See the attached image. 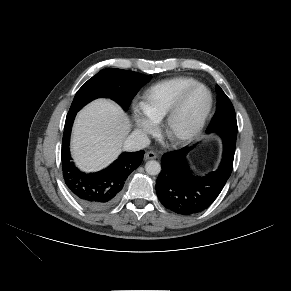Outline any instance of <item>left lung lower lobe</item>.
Listing matches in <instances>:
<instances>
[{
	"label": "left lung lower lobe",
	"mask_w": 291,
	"mask_h": 291,
	"mask_svg": "<svg viewBox=\"0 0 291 291\" xmlns=\"http://www.w3.org/2000/svg\"><path fill=\"white\" fill-rule=\"evenodd\" d=\"M218 133L224 144L222 161L217 170L206 176H195L189 170L185 147L162 157V171L156 182L160 202L171 211L192 215L208 208L222 191L233 166L237 128L218 127L206 131Z\"/></svg>",
	"instance_id": "0a47b994"
}]
</instances>
